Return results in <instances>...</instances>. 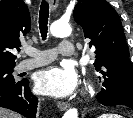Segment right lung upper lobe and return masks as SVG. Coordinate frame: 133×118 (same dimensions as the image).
<instances>
[{"mask_svg": "<svg viewBox=\"0 0 133 118\" xmlns=\"http://www.w3.org/2000/svg\"><path fill=\"white\" fill-rule=\"evenodd\" d=\"M30 28L29 10L23 0L0 1V63H15L14 51Z\"/></svg>", "mask_w": 133, "mask_h": 118, "instance_id": "right-lung-upper-lobe-1", "label": "right lung upper lobe"}]
</instances>
